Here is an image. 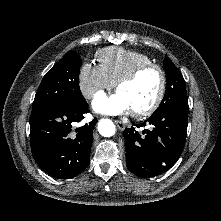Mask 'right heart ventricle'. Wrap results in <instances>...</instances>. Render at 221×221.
I'll return each instance as SVG.
<instances>
[{
  "instance_id": "e07e8e85",
  "label": "right heart ventricle",
  "mask_w": 221,
  "mask_h": 221,
  "mask_svg": "<svg viewBox=\"0 0 221 221\" xmlns=\"http://www.w3.org/2000/svg\"><path fill=\"white\" fill-rule=\"evenodd\" d=\"M96 61L114 83L135 67L152 63V59L142 52L115 47L99 50L96 53Z\"/></svg>"
}]
</instances>
